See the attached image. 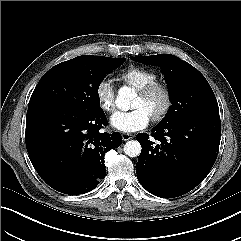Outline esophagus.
I'll list each match as a JSON object with an SVG mask.
<instances>
[{
  "label": "esophagus",
  "mask_w": 241,
  "mask_h": 241,
  "mask_svg": "<svg viewBox=\"0 0 241 241\" xmlns=\"http://www.w3.org/2000/svg\"><path fill=\"white\" fill-rule=\"evenodd\" d=\"M134 136L132 135V134H130V133H123L122 134V139L124 140V141H128V140H130V139H132Z\"/></svg>",
  "instance_id": "esophagus-1"
}]
</instances>
